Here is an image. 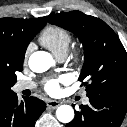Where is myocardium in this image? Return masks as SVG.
<instances>
[{
    "label": "myocardium",
    "instance_id": "obj_1",
    "mask_svg": "<svg viewBox=\"0 0 127 127\" xmlns=\"http://www.w3.org/2000/svg\"><path fill=\"white\" fill-rule=\"evenodd\" d=\"M82 57H83L82 51L77 49L72 53L71 60L73 61V63L79 64L82 60Z\"/></svg>",
    "mask_w": 127,
    "mask_h": 127
}]
</instances>
